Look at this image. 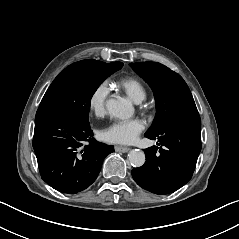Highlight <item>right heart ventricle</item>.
I'll return each instance as SVG.
<instances>
[{
  "mask_svg": "<svg viewBox=\"0 0 239 239\" xmlns=\"http://www.w3.org/2000/svg\"><path fill=\"white\" fill-rule=\"evenodd\" d=\"M121 84L133 99L140 101L146 97V89L139 80L127 78Z\"/></svg>",
  "mask_w": 239,
  "mask_h": 239,
  "instance_id": "e07e8e85",
  "label": "right heart ventricle"
}]
</instances>
